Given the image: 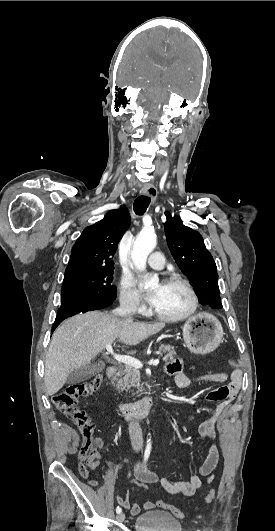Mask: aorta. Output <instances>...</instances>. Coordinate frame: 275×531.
<instances>
[{"label": "aorta", "instance_id": "762f6f07", "mask_svg": "<svg viewBox=\"0 0 275 531\" xmlns=\"http://www.w3.org/2000/svg\"><path fill=\"white\" fill-rule=\"evenodd\" d=\"M157 245L155 231L147 229V231H140L136 237V241L133 245V251L131 253V259L133 265H135L137 271H145L148 255L154 251ZM159 287L158 275L153 277H145L144 289H154Z\"/></svg>", "mask_w": 275, "mask_h": 531}]
</instances>
